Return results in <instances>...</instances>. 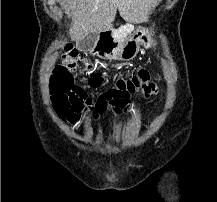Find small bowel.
Here are the masks:
<instances>
[{"label":"small bowel","instance_id":"obj_1","mask_svg":"<svg viewBox=\"0 0 217 202\" xmlns=\"http://www.w3.org/2000/svg\"><path fill=\"white\" fill-rule=\"evenodd\" d=\"M98 85H86V90H98ZM130 107V104H127Z\"/></svg>","mask_w":217,"mask_h":202}]
</instances>
